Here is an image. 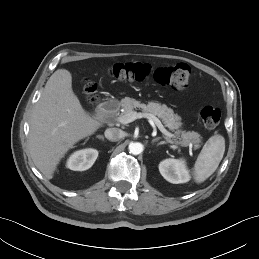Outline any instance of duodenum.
<instances>
[{
  "label": "duodenum",
  "instance_id": "410a0bca",
  "mask_svg": "<svg viewBox=\"0 0 259 259\" xmlns=\"http://www.w3.org/2000/svg\"><path fill=\"white\" fill-rule=\"evenodd\" d=\"M118 108V103L116 101H105L99 107V113L102 116H110L115 113Z\"/></svg>",
  "mask_w": 259,
  "mask_h": 259
}]
</instances>
